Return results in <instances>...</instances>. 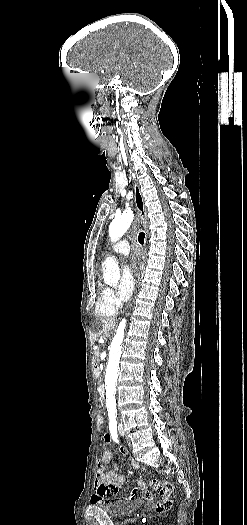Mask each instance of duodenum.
<instances>
[{"instance_id":"obj_1","label":"duodenum","mask_w":247,"mask_h":525,"mask_svg":"<svg viewBox=\"0 0 247 525\" xmlns=\"http://www.w3.org/2000/svg\"><path fill=\"white\" fill-rule=\"evenodd\" d=\"M93 372H94L95 376H98L99 373H100V367H99V364L97 362H94V364H93ZM98 390H99L101 398L104 400L105 399V389H104V387H99Z\"/></svg>"}]
</instances>
